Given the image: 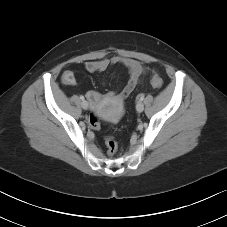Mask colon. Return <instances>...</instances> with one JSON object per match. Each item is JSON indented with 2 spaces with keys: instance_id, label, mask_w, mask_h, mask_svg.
<instances>
[{
  "instance_id": "5ec220e1",
  "label": "colon",
  "mask_w": 227,
  "mask_h": 227,
  "mask_svg": "<svg viewBox=\"0 0 227 227\" xmlns=\"http://www.w3.org/2000/svg\"><path fill=\"white\" fill-rule=\"evenodd\" d=\"M151 84L154 88L160 89L163 85V82H162V79L158 75H154L151 79ZM88 123H89L90 128L93 130H96V131L99 130L101 127L100 120L95 114L90 115V117L88 119ZM105 143L107 146L108 154L110 156L115 155L117 152V143L114 140V138L110 137V136L106 137Z\"/></svg>"
}]
</instances>
